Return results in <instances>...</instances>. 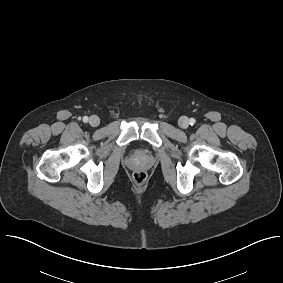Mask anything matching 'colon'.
Here are the masks:
<instances>
[{
  "mask_svg": "<svg viewBox=\"0 0 283 283\" xmlns=\"http://www.w3.org/2000/svg\"><path fill=\"white\" fill-rule=\"evenodd\" d=\"M147 175L143 171H136L133 174V180L136 184L141 185L146 181Z\"/></svg>",
  "mask_w": 283,
  "mask_h": 283,
  "instance_id": "obj_1",
  "label": "colon"
}]
</instances>
